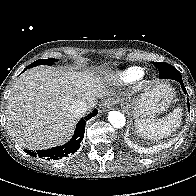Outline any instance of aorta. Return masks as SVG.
Masks as SVG:
<instances>
[{"label":"aorta","mask_w":196,"mask_h":196,"mask_svg":"<svg viewBox=\"0 0 196 196\" xmlns=\"http://www.w3.org/2000/svg\"><path fill=\"white\" fill-rule=\"evenodd\" d=\"M108 120L115 128H123L126 124L125 116L119 111H110L108 113Z\"/></svg>","instance_id":"1"}]
</instances>
